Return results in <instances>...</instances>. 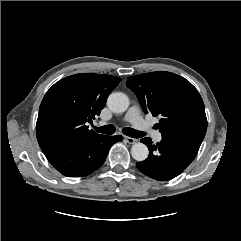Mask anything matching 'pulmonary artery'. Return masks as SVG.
Here are the masks:
<instances>
[{"instance_id": "obj_1", "label": "pulmonary artery", "mask_w": 241, "mask_h": 241, "mask_svg": "<svg viewBox=\"0 0 241 241\" xmlns=\"http://www.w3.org/2000/svg\"><path fill=\"white\" fill-rule=\"evenodd\" d=\"M124 120L133 124L135 128L141 131L151 132L152 137L156 142H160L162 140V134L159 131H153L148 122H146L141 114L140 110L137 106H132L128 112L126 113Z\"/></svg>"}]
</instances>
